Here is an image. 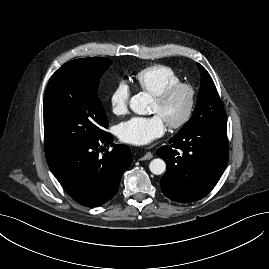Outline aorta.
I'll return each instance as SVG.
<instances>
[{
    "label": "aorta",
    "mask_w": 269,
    "mask_h": 269,
    "mask_svg": "<svg viewBox=\"0 0 269 269\" xmlns=\"http://www.w3.org/2000/svg\"><path fill=\"white\" fill-rule=\"evenodd\" d=\"M152 102V97L145 92L136 94L130 100L131 110L138 115H146L148 113V106ZM150 171L155 175H160L166 170V163L164 160L157 158L153 159L149 164Z\"/></svg>",
    "instance_id": "obj_1"
}]
</instances>
